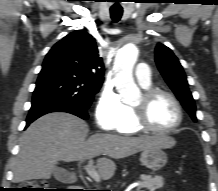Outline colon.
<instances>
[{"instance_id": "obj_1", "label": "colon", "mask_w": 218, "mask_h": 191, "mask_svg": "<svg viewBox=\"0 0 218 191\" xmlns=\"http://www.w3.org/2000/svg\"><path fill=\"white\" fill-rule=\"evenodd\" d=\"M20 191H48L43 183L30 182L22 186Z\"/></svg>"}]
</instances>
